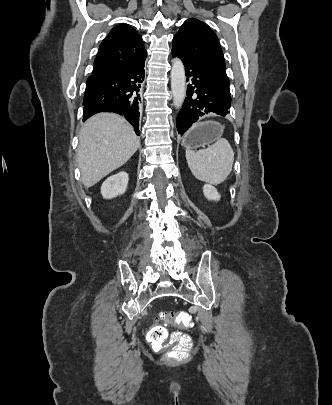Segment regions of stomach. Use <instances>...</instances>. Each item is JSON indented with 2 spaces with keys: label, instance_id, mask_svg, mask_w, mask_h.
<instances>
[{
  "label": "stomach",
  "instance_id": "0dacf381",
  "mask_svg": "<svg viewBox=\"0 0 332 405\" xmlns=\"http://www.w3.org/2000/svg\"><path fill=\"white\" fill-rule=\"evenodd\" d=\"M224 127L214 121H204L194 124L182 139L186 149H197L209 146L221 138Z\"/></svg>",
  "mask_w": 332,
  "mask_h": 405
}]
</instances>
